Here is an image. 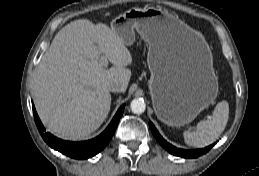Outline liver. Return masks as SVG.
I'll return each mask as SVG.
<instances>
[{"label": "liver", "mask_w": 259, "mask_h": 176, "mask_svg": "<svg viewBox=\"0 0 259 176\" xmlns=\"http://www.w3.org/2000/svg\"><path fill=\"white\" fill-rule=\"evenodd\" d=\"M103 55L114 66L100 64ZM132 56L106 24L79 19L54 37L35 72L33 98L47 130L80 140L100 127L110 111V84L127 90Z\"/></svg>", "instance_id": "obj_1"}]
</instances>
